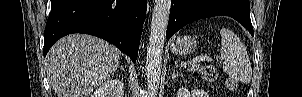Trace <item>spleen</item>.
I'll use <instances>...</instances> for the list:
<instances>
[{"label": "spleen", "instance_id": "1", "mask_svg": "<svg viewBox=\"0 0 302 97\" xmlns=\"http://www.w3.org/2000/svg\"><path fill=\"white\" fill-rule=\"evenodd\" d=\"M221 57L225 60L223 70L232 78L249 83L252 77L251 63L244 44L227 28L220 29Z\"/></svg>", "mask_w": 302, "mask_h": 97}]
</instances>
